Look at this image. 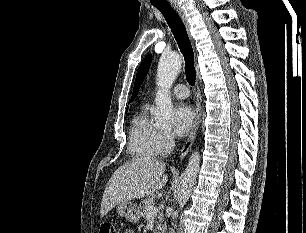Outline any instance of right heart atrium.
Here are the masks:
<instances>
[{
  "instance_id": "1",
  "label": "right heart atrium",
  "mask_w": 306,
  "mask_h": 233,
  "mask_svg": "<svg viewBox=\"0 0 306 233\" xmlns=\"http://www.w3.org/2000/svg\"><path fill=\"white\" fill-rule=\"evenodd\" d=\"M174 146V138L170 132L159 131L158 135V151L164 155Z\"/></svg>"
}]
</instances>
